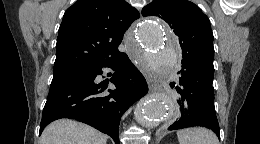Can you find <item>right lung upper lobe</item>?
I'll list each match as a JSON object with an SVG mask.
<instances>
[{"label":"right lung upper lobe","instance_id":"obj_1","mask_svg":"<svg viewBox=\"0 0 260 144\" xmlns=\"http://www.w3.org/2000/svg\"><path fill=\"white\" fill-rule=\"evenodd\" d=\"M139 16L125 0L76 1L59 28L54 72L115 56L124 33Z\"/></svg>","mask_w":260,"mask_h":144}]
</instances>
